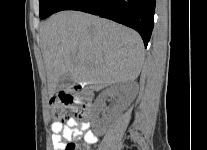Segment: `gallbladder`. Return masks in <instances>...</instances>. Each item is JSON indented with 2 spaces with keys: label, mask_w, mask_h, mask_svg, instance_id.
<instances>
[{
  "label": "gallbladder",
  "mask_w": 207,
  "mask_h": 150,
  "mask_svg": "<svg viewBox=\"0 0 207 150\" xmlns=\"http://www.w3.org/2000/svg\"><path fill=\"white\" fill-rule=\"evenodd\" d=\"M70 76H69V73H66L64 74L60 80L58 81L57 83V86H56V90L57 91H60V90H64L66 88H68L69 84H70Z\"/></svg>",
  "instance_id": "bac80fb5"
}]
</instances>
